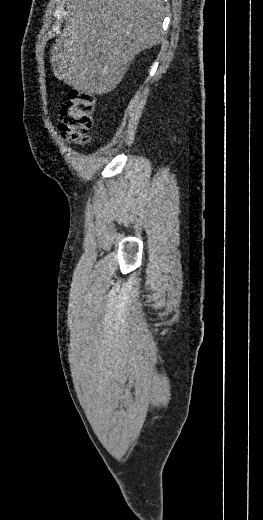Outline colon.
<instances>
[{"label":"colon","instance_id":"obj_1","mask_svg":"<svg viewBox=\"0 0 263 520\" xmlns=\"http://www.w3.org/2000/svg\"><path fill=\"white\" fill-rule=\"evenodd\" d=\"M94 104L95 98L91 92L72 89L60 114L58 127L61 134L75 144H88Z\"/></svg>","mask_w":263,"mask_h":520}]
</instances>
